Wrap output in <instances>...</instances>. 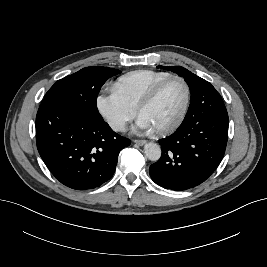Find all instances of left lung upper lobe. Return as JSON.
I'll use <instances>...</instances> for the list:
<instances>
[{
	"instance_id": "left-lung-upper-lobe-1",
	"label": "left lung upper lobe",
	"mask_w": 267,
	"mask_h": 267,
	"mask_svg": "<svg viewBox=\"0 0 267 267\" xmlns=\"http://www.w3.org/2000/svg\"><path fill=\"white\" fill-rule=\"evenodd\" d=\"M160 67L169 71H173L178 75L182 76L190 88V106L182 124L186 121L191 120L194 115V107L197 105H201L202 103H205V105L210 106V108L216 111L217 113H227L221 96L208 81L198 77L197 75L180 66Z\"/></svg>"
}]
</instances>
